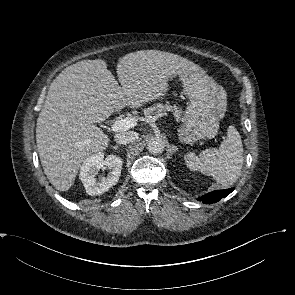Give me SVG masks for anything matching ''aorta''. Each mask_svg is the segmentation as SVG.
Listing matches in <instances>:
<instances>
[{
    "label": "aorta",
    "instance_id": "obj_1",
    "mask_svg": "<svg viewBox=\"0 0 295 295\" xmlns=\"http://www.w3.org/2000/svg\"><path fill=\"white\" fill-rule=\"evenodd\" d=\"M164 141L159 137L151 138L147 143V149L151 154H159L164 150Z\"/></svg>",
    "mask_w": 295,
    "mask_h": 295
}]
</instances>
